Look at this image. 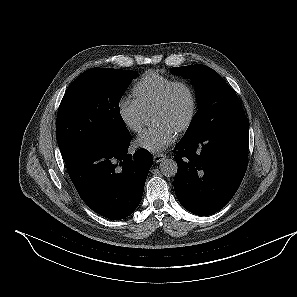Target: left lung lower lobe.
Returning <instances> with one entry per match:
<instances>
[{
	"label": "left lung lower lobe",
	"instance_id": "1",
	"mask_svg": "<svg viewBox=\"0 0 297 297\" xmlns=\"http://www.w3.org/2000/svg\"><path fill=\"white\" fill-rule=\"evenodd\" d=\"M249 122L245 115L175 146L174 189L188 211L207 216L222 209L239 188L247 169Z\"/></svg>",
	"mask_w": 297,
	"mask_h": 297
}]
</instances>
